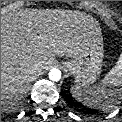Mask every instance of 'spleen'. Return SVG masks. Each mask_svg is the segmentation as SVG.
Returning a JSON list of instances; mask_svg holds the SVG:
<instances>
[{"mask_svg": "<svg viewBox=\"0 0 122 122\" xmlns=\"http://www.w3.org/2000/svg\"><path fill=\"white\" fill-rule=\"evenodd\" d=\"M120 86H122V54L116 66L105 76L101 86H94L84 90V95H82L83 90L79 87H72L71 92L73 96L83 104L89 107L105 109L109 106L111 98L116 96V93H114L111 88ZM107 87H109V89H106ZM116 91H119V89H116ZM103 98L108 100L106 104H101Z\"/></svg>", "mask_w": 122, "mask_h": 122, "instance_id": "3e777b00", "label": "spleen"}]
</instances>
